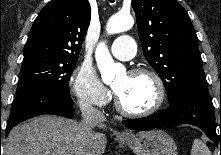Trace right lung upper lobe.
<instances>
[{"label":"right lung upper lobe","mask_w":221,"mask_h":155,"mask_svg":"<svg viewBox=\"0 0 221 155\" xmlns=\"http://www.w3.org/2000/svg\"><path fill=\"white\" fill-rule=\"evenodd\" d=\"M88 0H52L39 13L24 46V57L48 55L78 59L89 27Z\"/></svg>","instance_id":"1"}]
</instances>
